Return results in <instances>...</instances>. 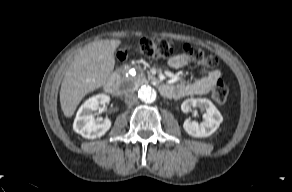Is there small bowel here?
Instances as JSON below:
<instances>
[{
    "label": "small bowel",
    "instance_id": "small-bowel-1",
    "mask_svg": "<svg viewBox=\"0 0 292 192\" xmlns=\"http://www.w3.org/2000/svg\"><path fill=\"white\" fill-rule=\"evenodd\" d=\"M188 62L189 57L187 54L174 55L168 61L169 65L176 69L184 67ZM219 78H221V72L219 70H212L207 75L193 81H185L175 86L168 85L169 88L164 95L172 98L202 95L207 93Z\"/></svg>",
    "mask_w": 292,
    "mask_h": 192
}]
</instances>
